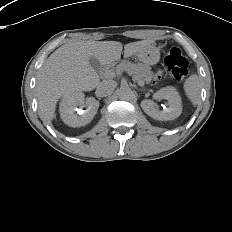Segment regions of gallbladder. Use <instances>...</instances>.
<instances>
[{"mask_svg":"<svg viewBox=\"0 0 232 232\" xmlns=\"http://www.w3.org/2000/svg\"><path fill=\"white\" fill-rule=\"evenodd\" d=\"M89 62H90V65L93 67V69L95 71H99L100 67H101V64L100 62L98 61V59L94 56H91L89 58Z\"/></svg>","mask_w":232,"mask_h":232,"instance_id":"bac80fb5","label":"gallbladder"}]
</instances>
